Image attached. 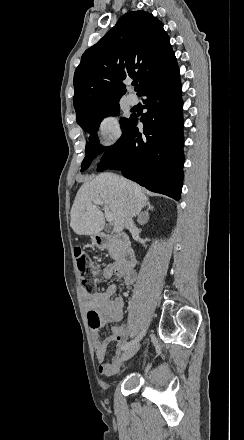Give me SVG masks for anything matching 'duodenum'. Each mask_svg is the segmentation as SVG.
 Masks as SVG:
<instances>
[{
  "instance_id": "410a0bca",
  "label": "duodenum",
  "mask_w": 244,
  "mask_h": 440,
  "mask_svg": "<svg viewBox=\"0 0 244 440\" xmlns=\"http://www.w3.org/2000/svg\"><path fill=\"white\" fill-rule=\"evenodd\" d=\"M93 240L101 249H117L120 256L119 261L126 269L133 270L136 267V254L130 248V242L124 235L98 233L94 236Z\"/></svg>"
}]
</instances>
